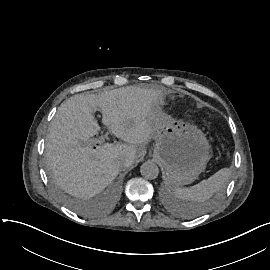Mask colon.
I'll return each instance as SVG.
<instances>
[{
    "label": "colon",
    "instance_id": "colon-1",
    "mask_svg": "<svg viewBox=\"0 0 270 270\" xmlns=\"http://www.w3.org/2000/svg\"><path fill=\"white\" fill-rule=\"evenodd\" d=\"M222 159L224 161H232L234 159V152L232 150H224L222 152Z\"/></svg>",
    "mask_w": 270,
    "mask_h": 270
}]
</instances>
